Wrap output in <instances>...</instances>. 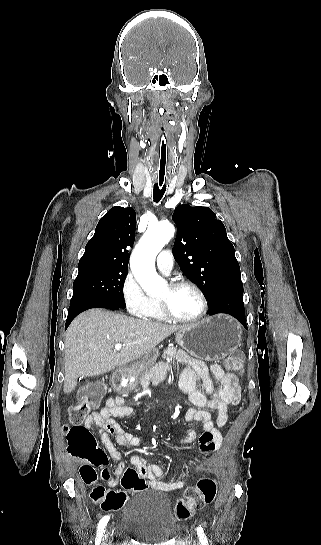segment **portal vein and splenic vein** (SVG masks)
Wrapping results in <instances>:
<instances>
[{"label": "portal vein and splenic vein", "mask_w": 321, "mask_h": 545, "mask_svg": "<svg viewBox=\"0 0 321 545\" xmlns=\"http://www.w3.org/2000/svg\"><path fill=\"white\" fill-rule=\"evenodd\" d=\"M128 345H134V343H128ZM123 345H121V343H117V345H115V349L116 351H120V349H122Z\"/></svg>", "instance_id": "portal-vein-and-splenic-vein-1"}]
</instances>
